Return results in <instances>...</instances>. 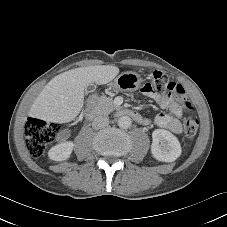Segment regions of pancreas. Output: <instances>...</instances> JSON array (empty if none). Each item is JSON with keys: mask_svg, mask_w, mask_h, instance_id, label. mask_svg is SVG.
Instances as JSON below:
<instances>
[{"mask_svg": "<svg viewBox=\"0 0 227 227\" xmlns=\"http://www.w3.org/2000/svg\"><path fill=\"white\" fill-rule=\"evenodd\" d=\"M117 108L118 107L114 104L113 100L106 96L98 98L94 107L95 112L99 115H108Z\"/></svg>", "mask_w": 227, "mask_h": 227, "instance_id": "1", "label": "pancreas"}]
</instances>
